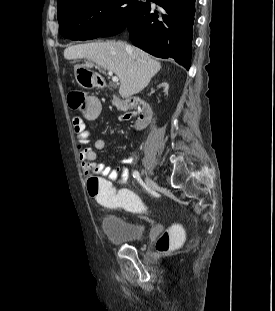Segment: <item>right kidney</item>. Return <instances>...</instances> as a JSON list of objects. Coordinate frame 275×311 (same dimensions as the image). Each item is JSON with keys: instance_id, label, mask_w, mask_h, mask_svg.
Segmentation results:
<instances>
[{"instance_id": "obj_1", "label": "right kidney", "mask_w": 275, "mask_h": 311, "mask_svg": "<svg viewBox=\"0 0 275 311\" xmlns=\"http://www.w3.org/2000/svg\"><path fill=\"white\" fill-rule=\"evenodd\" d=\"M158 90H152V97H159V100H164L163 102L165 103V100H168V89H169V85L168 83L164 82L161 84H158L157 86ZM160 106L162 105L161 103L159 104Z\"/></svg>"}]
</instances>
